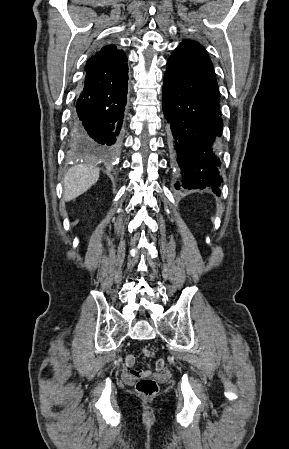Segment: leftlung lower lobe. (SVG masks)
<instances>
[{"label": "left lung lower lobe", "mask_w": 289, "mask_h": 449, "mask_svg": "<svg viewBox=\"0 0 289 449\" xmlns=\"http://www.w3.org/2000/svg\"><path fill=\"white\" fill-rule=\"evenodd\" d=\"M162 107L168 146L179 168L176 189L212 187L220 194L219 88L206 54L178 47L167 62Z\"/></svg>", "instance_id": "obj_1"}]
</instances>
